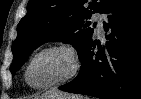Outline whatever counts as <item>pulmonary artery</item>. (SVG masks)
Segmentation results:
<instances>
[{
  "label": "pulmonary artery",
  "mask_w": 141,
  "mask_h": 99,
  "mask_svg": "<svg viewBox=\"0 0 141 99\" xmlns=\"http://www.w3.org/2000/svg\"><path fill=\"white\" fill-rule=\"evenodd\" d=\"M93 20L96 23V31L99 34H102L103 33V16L101 14H99V13H96L93 16Z\"/></svg>",
  "instance_id": "pulmonary-artery-1"
}]
</instances>
